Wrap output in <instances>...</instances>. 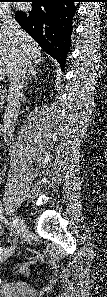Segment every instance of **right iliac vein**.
Returning <instances> with one entry per match:
<instances>
[{"label": "right iliac vein", "mask_w": 107, "mask_h": 297, "mask_svg": "<svg viewBox=\"0 0 107 297\" xmlns=\"http://www.w3.org/2000/svg\"><path fill=\"white\" fill-rule=\"evenodd\" d=\"M15 227L17 230H19L21 233L25 232L26 231V226L24 224V221L19 218V217H16L15 218ZM15 251V246L14 247H11L9 249H7L6 251H4L2 254H0V260L1 261H4L6 260L9 256L12 255V253Z\"/></svg>", "instance_id": "right-iliac-vein-1"}]
</instances>
